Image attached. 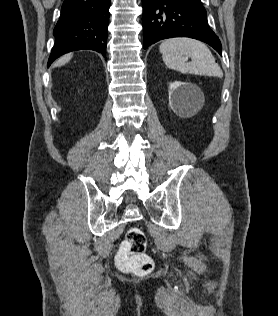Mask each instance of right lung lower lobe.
<instances>
[{
  "label": "right lung lower lobe",
  "mask_w": 278,
  "mask_h": 316,
  "mask_svg": "<svg viewBox=\"0 0 278 316\" xmlns=\"http://www.w3.org/2000/svg\"><path fill=\"white\" fill-rule=\"evenodd\" d=\"M110 0H64L48 67L59 56L90 49L106 57Z\"/></svg>",
  "instance_id": "obj_1"
}]
</instances>
